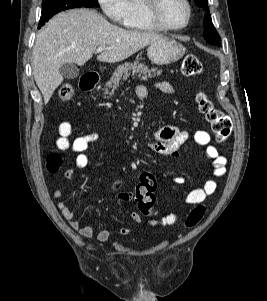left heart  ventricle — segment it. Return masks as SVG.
Wrapping results in <instances>:
<instances>
[{"label":"left heart ventricle","mask_w":267,"mask_h":301,"mask_svg":"<svg viewBox=\"0 0 267 301\" xmlns=\"http://www.w3.org/2000/svg\"><path fill=\"white\" fill-rule=\"evenodd\" d=\"M161 16L170 25H181L187 18V10L182 0H163Z\"/></svg>","instance_id":"obj_1"}]
</instances>
